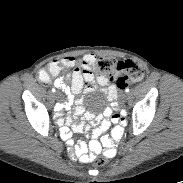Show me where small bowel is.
<instances>
[{
	"instance_id": "1",
	"label": "small bowel",
	"mask_w": 183,
	"mask_h": 183,
	"mask_svg": "<svg viewBox=\"0 0 183 183\" xmlns=\"http://www.w3.org/2000/svg\"><path fill=\"white\" fill-rule=\"evenodd\" d=\"M95 63L96 57L87 53L81 57H66L53 60L48 65L46 69H54L56 75L62 70L71 71L70 86L62 78L54 81L55 86L62 89L68 97L63 103L54 102L51 105V110L55 113V122L60 125L58 127L60 140L68 148H73L71 152L74 156L78 158L84 157L88 151L91 152L90 155H93V153H98L103 149L105 157L108 160H113L116 157L115 148L117 143L125 133V128L123 127L125 124V110L118 102L113 101L117 95L116 85L114 83L110 84L109 80L103 75L95 76L93 73ZM97 88H100L111 102L108 103L102 113L95 115L91 112H85L83 98H76L75 96L82 91L86 94L92 93ZM71 108V113L64 117L62 111L70 110ZM75 116H83L84 121L78 122ZM112 123L119 125H115L112 128V136H108L105 132ZM68 126H71L75 132H91L93 139L89 143L84 139H79L76 142L70 134Z\"/></svg>"
}]
</instances>
